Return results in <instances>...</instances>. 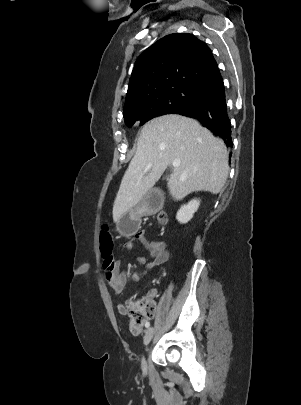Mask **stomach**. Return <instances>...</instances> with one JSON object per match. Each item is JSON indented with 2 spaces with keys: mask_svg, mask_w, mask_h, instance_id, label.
Here are the masks:
<instances>
[{
  "mask_svg": "<svg viewBox=\"0 0 301 405\" xmlns=\"http://www.w3.org/2000/svg\"><path fill=\"white\" fill-rule=\"evenodd\" d=\"M139 212V208H132L121 216L117 222V229L121 234L134 233L139 229L141 222Z\"/></svg>",
  "mask_w": 301,
  "mask_h": 405,
  "instance_id": "obj_1",
  "label": "stomach"
}]
</instances>
